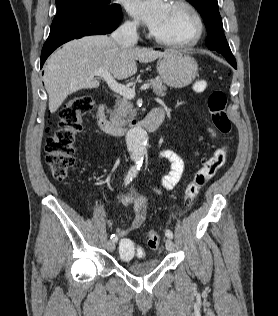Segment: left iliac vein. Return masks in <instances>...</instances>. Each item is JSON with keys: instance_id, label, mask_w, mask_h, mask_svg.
I'll return each instance as SVG.
<instances>
[{"instance_id": "1", "label": "left iliac vein", "mask_w": 278, "mask_h": 316, "mask_svg": "<svg viewBox=\"0 0 278 316\" xmlns=\"http://www.w3.org/2000/svg\"><path fill=\"white\" fill-rule=\"evenodd\" d=\"M165 246H166V249L168 251H173L174 250V243L171 239H167L166 242H165Z\"/></svg>"}]
</instances>
